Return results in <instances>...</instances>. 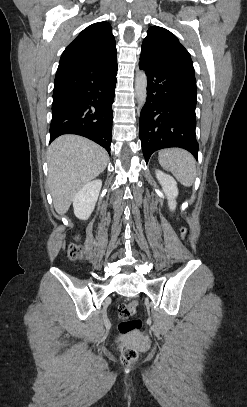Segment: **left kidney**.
Returning <instances> with one entry per match:
<instances>
[{"label":"left kidney","instance_id":"left-kidney-1","mask_svg":"<svg viewBox=\"0 0 247 407\" xmlns=\"http://www.w3.org/2000/svg\"><path fill=\"white\" fill-rule=\"evenodd\" d=\"M156 178L161 184L162 189L168 199V205L170 210L172 211L175 210L176 208L175 198L178 196L177 182L172 176L163 173L160 170H156Z\"/></svg>","mask_w":247,"mask_h":407}]
</instances>
